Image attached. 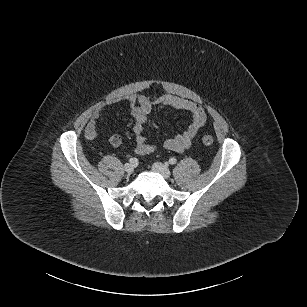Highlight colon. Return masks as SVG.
Wrapping results in <instances>:
<instances>
[{"instance_id": "1", "label": "colon", "mask_w": 307, "mask_h": 307, "mask_svg": "<svg viewBox=\"0 0 307 307\" xmlns=\"http://www.w3.org/2000/svg\"><path fill=\"white\" fill-rule=\"evenodd\" d=\"M121 142V138L119 135H113L111 136L110 138V143L113 145V146H118ZM202 142L204 145H211L213 144L214 142V139L211 135H208V134H205L202 136Z\"/></svg>"}]
</instances>
